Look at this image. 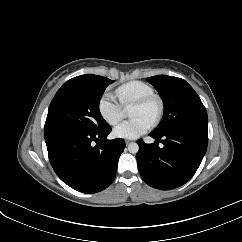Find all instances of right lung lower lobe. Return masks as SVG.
I'll list each match as a JSON object with an SVG mask.
<instances>
[{
    "label": "right lung lower lobe",
    "mask_w": 242,
    "mask_h": 242,
    "mask_svg": "<svg viewBox=\"0 0 242 242\" xmlns=\"http://www.w3.org/2000/svg\"><path fill=\"white\" fill-rule=\"evenodd\" d=\"M110 132L111 127L101 132L81 127L45 131L49 160L58 177L83 193L107 188L115 179L118 159L125 148L123 139H106Z\"/></svg>",
    "instance_id": "98d812e1"
}]
</instances>
